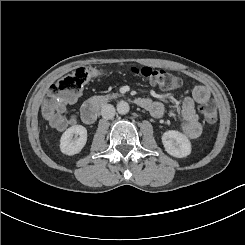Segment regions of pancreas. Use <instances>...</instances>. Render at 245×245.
Instances as JSON below:
<instances>
[{"mask_svg":"<svg viewBox=\"0 0 245 245\" xmlns=\"http://www.w3.org/2000/svg\"><path fill=\"white\" fill-rule=\"evenodd\" d=\"M117 96H119V95L117 93H115V94H112L110 97L115 98Z\"/></svg>","mask_w":245,"mask_h":245,"instance_id":"pancreas-1","label":"pancreas"}]
</instances>
